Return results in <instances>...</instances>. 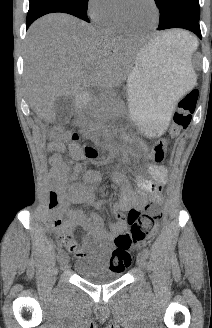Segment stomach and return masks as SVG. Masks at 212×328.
Returning <instances> with one entry per match:
<instances>
[{
  "instance_id": "0dacf381",
  "label": "stomach",
  "mask_w": 212,
  "mask_h": 328,
  "mask_svg": "<svg viewBox=\"0 0 212 328\" xmlns=\"http://www.w3.org/2000/svg\"><path fill=\"white\" fill-rule=\"evenodd\" d=\"M195 83L191 57L170 42L152 40L137 54L127 80L132 118L147 135H162L176 101Z\"/></svg>"
}]
</instances>
